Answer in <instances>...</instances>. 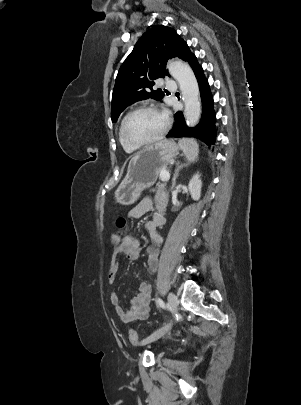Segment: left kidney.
Masks as SVG:
<instances>
[{
    "mask_svg": "<svg viewBox=\"0 0 301 405\" xmlns=\"http://www.w3.org/2000/svg\"><path fill=\"white\" fill-rule=\"evenodd\" d=\"M202 181L200 175L196 174L192 177L188 184V189L193 200L197 201L201 197Z\"/></svg>",
    "mask_w": 301,
    "mask_h": 405,
    "instance_id": "1",
    "label": "left kidney"
}]
</instances>
